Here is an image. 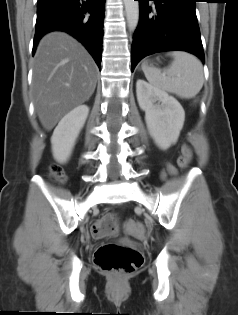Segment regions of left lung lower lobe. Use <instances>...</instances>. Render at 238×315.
Masks as SVG:
<instances>
[{"instance_id": "obj_1", "label": "left lung lower lobe", "mask_w": 238, "mask_h": 315, "mask_svg": "<svg viewBox=\"0 0 238 315\" xmlns=\"http://www.w3.org/2000/svg\"><path fill=\"white\" fill-rule=\"evenodd\" d=\"M139 1V24L131 47L132 71L144 57L157 52L180 50L205 61L195 12L197 0Z\"/></svg>"}]
</instances>
